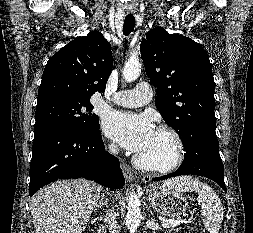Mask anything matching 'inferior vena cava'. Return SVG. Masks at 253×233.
Returning a JSON list of instances; mask_svg holds the SVG:
<instances>
[{"mask_svg":"<svg viewBox=\"0 0 253 233\" xmlns=\"http://www.w3.org/2000/svg\"><path fill=\"white\" fill-rule=\"evenodd\" d=\"M109 151L112 154L117 155L118 152H119V148L116 144L112 143V144L109 145ZM105 221L107 223L109 233H118L116 213L114 212V210L109 209V210L106 211Z\"/></svg>","mask_w":253,"mask_h":233,"instance_id":"1","label":"inferior vena cava"}]
</instances>
